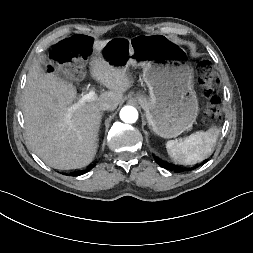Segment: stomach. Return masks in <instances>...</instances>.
Here are the masks:
<instances>
[{"mask_svg":"<svg viewBox=\"0 0 253 253\" xmlns=\"http://www.w3.org/2000/svg\"><path fill=\"white\" fill-rule=\"evenodd\" d=\"M110 65L143 68L149 96L134 98L145 111L149 128L163 138H174L192 127L198 114L193 68L186 52L166 36L115 37L100 51Z\"/></svg>","mask_w":253,"mask_h":253,"instance_id":"0dacf381","label":"stomach"}]
</instances>
